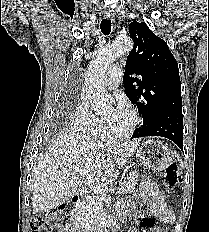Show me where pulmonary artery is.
<instances>
[{
    "label": "pulmonary artery",
    "mask_w": 209,
    "mask_h": 232,
    "mask_svg": "<svg viewBox=\"0 0 209 232\" xmlns=\"http://www.w3.org/2000/svg\"><path fill=\"white\" fill-rule=\"evenodd\" d=\"M122 75H123V70L120 65L117 64L111 65L108 68L107 73L105 75V85L109 89L116 88L121 82Z\"/></svg>",
    "instance_id": "1"
}]
</instances>
